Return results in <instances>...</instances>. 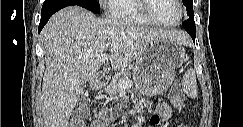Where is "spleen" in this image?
<instances>
[{"label": "spleen", "mask_w": 243, "mask_h": 127, "mask_svg": "<svg viewBox=\"0 0 243 127\" xmlns=\"http://www.w3.org/2000/svg\"><path fill=\"white\" fill-rule=\"evenodd\" d=\"M182 88L190 98H195L197 96L198 87L194 69H189L185 72L182 78Z\"/></svg>", "instance_id": "obj_1"}]
</instances>
